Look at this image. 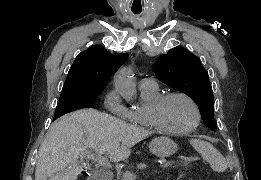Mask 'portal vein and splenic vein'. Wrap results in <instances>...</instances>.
Wrapping results in <instances>:
<instances>
[{
  "label": "portal vein and splenic vein",
  "instance_id": "portal-vein-and-splenic-vein-1",
  "mask_svg": "<svg viewBox=\"0 0 261 180\" xmlns=\"http://www.w3.org/2000/svg\"><path fill=\"white\" fill-rule=\"evenodd\" d=\"M87 156H92V160H95V162H100V164H109L108 158H99V160H96L97 156L95 154H92V152H88ZM173 163H176V158H171V161H163V165L157 166V169L159 170H167L168 167H173ZM119 174H122L121 170ZM139 176L138 172H123L122 174V180H135L136 177Z\"/></svg>",
  "mask_w": 261,
  "mask_h": 180
}]
</instances>
